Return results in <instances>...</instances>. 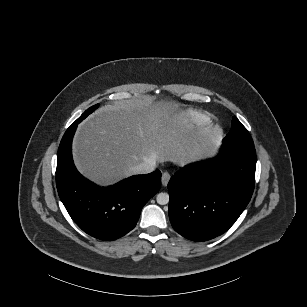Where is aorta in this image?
Returning <instances> with one entry per match:
<instances>
[{
	"label": "aorta",
	"mask_w": 307,
	"mask_h": 307,
	"mask_svg": "<svg viewBox=\"0 0 307 307\" xmlns=\"http://www.w3.org/2000/svg\"><path fill=\"white\" fill-rule=\"evenodd\" d=\"M156 201L160 205H165L169 202V195L165 192L158 193L156 196Z\"/></svg>",
	"instance_id": "762f6f07"
}]
</instances>
